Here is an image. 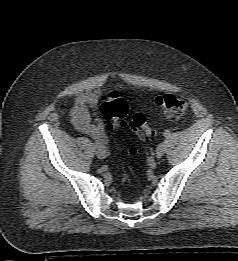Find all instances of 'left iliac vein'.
Returning a JSON list of instances; mask_svg holds the SVG:
<instances>
[{"instance_id": "left-iliac-vein-1", "label": "left iliac vein", "mask_w": 238, "mask_h": 261, "mask_svg": "<svg viewBox=\"0 0 238 261\" xmlns=\"http://www.w3.org/2000/svg\"><path fill=\"white\" fill-rule=\"evenodd\" d=\"M164 149H165V146L163 143L158 145V147L156 148V157L157 158H161L163 156Z\"/></svg>"}]
</instances>
